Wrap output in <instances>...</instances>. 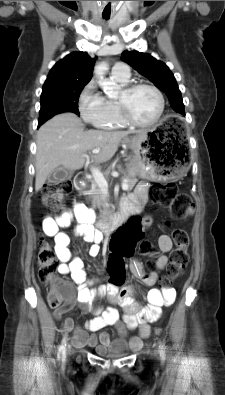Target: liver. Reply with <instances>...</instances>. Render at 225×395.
Returning <instances> with one entry per match:
<instances>
[{
    "label": "liver",
    "instance_id": "1",
    "mask_svg": "<svg viewBox=\"0 0 225 395\" xmlns=\"http://www.w3.org/2000/svg\"><path fill=\"white\" fill-rule=\"evenodd\" d=\"M147 130L136 133L145 137ZM129 131L84 130V124L73 113L54 116L44 123L37 133L35 191L44 185L47 177L58 167L68 170L81 169L87 159V152L100 149L92 156L94 163L109 161L116 153Z\"/></svg>",
    "mask_w": 225,
    "mask_h": 395
}]
</instances>
